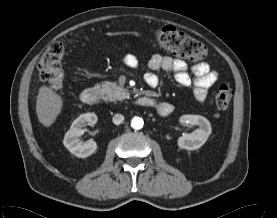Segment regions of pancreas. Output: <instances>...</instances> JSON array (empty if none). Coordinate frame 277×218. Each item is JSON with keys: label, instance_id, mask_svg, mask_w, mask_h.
Masks as SVG:
<instances>
[{"label": "pancreas", "instance_id": "cf45deb5", "mask_svg": "<svg viewBox=\"0 0 277 218\" xmlns=\"http://www.w3.org/2000/svg\"><path fill=\"white\" fill-rule=\"evenodd\" d=\"M95 88L100 91L102 98L107 101H122L130 96L128 89L117 85L115 82L96 84Z\"/></svg>", "mask_w": 277, "mask_h": 218}]
</instances>
